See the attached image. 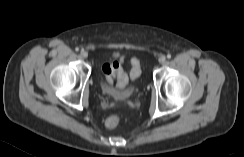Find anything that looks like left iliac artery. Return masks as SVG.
Here are the masks:
<instances>
[{"label":"left iliac artery","mask_w":244,"mask_h":157,"mask_svg":"<svg viewBox=\"0 0 244 157\" xmlns=\"http://www.w3.org/2000/svg\"><path fill=\"white\" fill-rule=\"evenodd\" d=\"M167 58L170 59V58H171V54H168V55H167Z\"/></svg>","instance_id":"44dca946"}]
</instances>
